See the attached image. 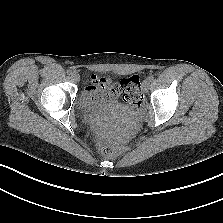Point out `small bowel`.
Returning a JSON list of instances; mask_svg holds the SVG:
<instances>
[{
	"label": "small bowel",
	"instance_id": "1",
	"mask_svg": "<svg viewBox=\"0 0 223 223\" xmlns=\"http://www.w3.org/2000/svg\"><path fill=\"white\" fill-rule=\"evenodd\" d=\"M120 84H113L109 78L92 77V84L87 90L108 99H115L121 94Z\"/></svg>",
	"mask_w": 223,
	"mask_h": 223
}]
</instances>
